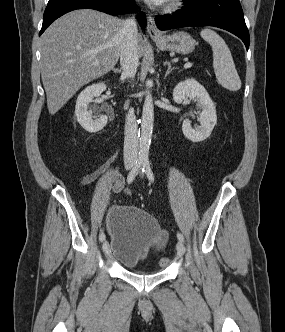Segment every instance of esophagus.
Returning a JSON list of instances; mask_svg holds the SVG:
<instances>
[{"label": "esophagus", "instance_id": "1", "mask_svg": "<svg viewBox=\"0 0 285 332\" xmlns=\"http://www.w3.org/2000/svg\"><path fill=\"white\" fill-rule=\"evenodd\" d=\"M147 32L151 38H158L162 36L156 25L154 17L151 14L147 17Z\"/></svg>", "mask_w": 285, "mask_h": 332}]
</instances>
